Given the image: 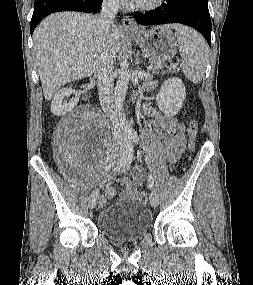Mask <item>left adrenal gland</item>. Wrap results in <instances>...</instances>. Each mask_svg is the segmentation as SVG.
<instances>
[{
	"instance_id": "a2214340",
	"label": "left adrenal gland",
	"mask_w": 253,
	"mask_h": 285,
	"mask_svg": "<svg viewBox=\"0 0 253 285\" xmlns=\"http://www.w3.org/2000/svg\"><path fill=\"white\" fill-rule=\"evenodd\" d=\"M136 65H137V68H138V69H141V68L139 67V60H138V59H137Z\"/></svg>"
}]
</instances>
